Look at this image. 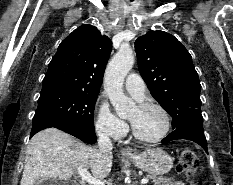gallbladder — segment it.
<instances>
[{"label":"gallbladder","mask_w":233,"mask_h":185,"mask_svg":"<svg viewBox=\"0 0 233 185\" xmlns=\"http://www.w3.org/2000/svg\"><path fill=\"white\" fill-rule=\"evenodd\" d=\"M40 185H75V183L71 181L60 180L58 178H50L42 181Z\"/></svg>","instance_id":"1"}]
</instances>
